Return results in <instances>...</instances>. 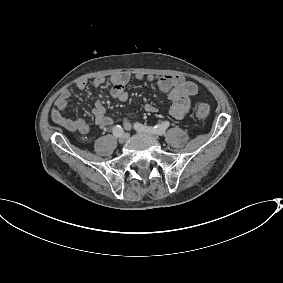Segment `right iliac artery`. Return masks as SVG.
Segmentation results:
<instances>
[{
  "label": "right iliac artery",
  "instance_id": "1",
  "mask_svg": "<svg viewBox=\"0 0 283 283\" xmlns=\"http://www.w3.org/2000/svg\"><path fill=\"white\" fill-rule=\"evenodd\" d=\"M112 132L114 136L120 137L124 133V130L121 126L117 125L112 128Z\"/></svg>",
  "mask_w": 283,
  "mask_h": 283
}]
</instances>
